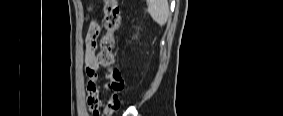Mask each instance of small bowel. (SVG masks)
I'll list each match as a JSON object with an SVG mask.
<instances>
[{"label": "small bowel", "instance_id": "c3829d8e", "mask_svg": "<svg viewBox=\"0 0 283 116\" xmlns=\"http://www.w3.org/2000/svg\"><path fill=\"white\" fill-rule=\"evenodd\" d=\"M99 33V25L95 21H92L86 36L85 50V66L86 75L88 77L87 104L91 110L93 107L99 106L103 102L101 97L102 88L99 85V63L96 57ZM109 85L110 82L108 80V82L105 84V88L109 89Z\"/></svg>", "mask_w": 283, "mask_h": 116}]
</instances>
